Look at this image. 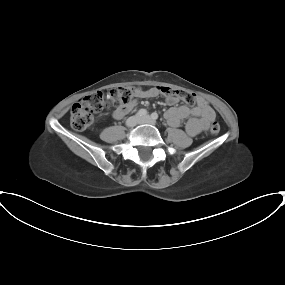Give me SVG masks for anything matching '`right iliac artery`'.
Here are the masks:
<instances>
[{
    "label": "right iliac artery",
    "mask_w": 285,
    "mask_h": 285,
    "mask_svg": "<svg viewBox=\"0 0 285 285\" xmlns=\"http://www.w3.org/2000/svg\"><path fill=\"white\" fill-rule=\"evenodd\" d=\"M137 114H138V116H145V115H147V110L140 109Z\"/></svg>",
    "instance_id": "1"
}]
</instances>
